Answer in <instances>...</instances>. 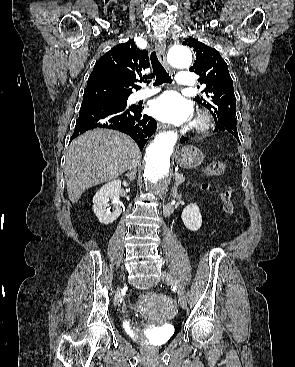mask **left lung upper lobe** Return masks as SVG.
Returning a JSON list of instances; mask_svg holds the SVG:
<instances>
[{
	"instance_id": "obj_1",
	"label": "left lung upper lobe",
	"mask_w": 295,
	"mask_h": 367,
	"mask_svg": "<svg viewBox=\"0 0 295 367\" xmlns=\"http://www.w3.org/2000/svg\"><path fill=\"white\" fill-rule=\"evenodd\" d=\"M182 44L193 48L196 53L195 63L189 70L200 76V84L206 85V96H197L194 100L210 111L216 124L225 121L236 123V98L227 63L217 50L193 37L185 39Z\"/></svg>"
}]
</instances>
